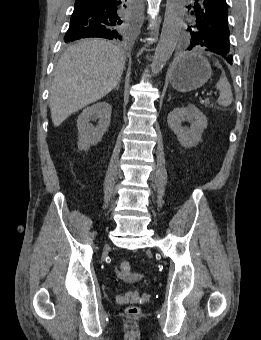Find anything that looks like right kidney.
I'll list each match as a JSON object with an SVG mask.
<instances>
[{
	"label": "right kidney",
	"instance_id": "ca27d5eb",
	"mask_svg": "<svg viewBox=\"0 0 261 340\" xmlns=\"http://www.w3.org/2000/svg\"><path fill=\"white\" fill-rule=\"evenodd\" d=\"M112 108L107 102H99L82 111L77 119L78 148L87 151L90 146L96 145L108 131ZM90 119H99L94 127Z\"/></svg>",
	"mask_w": 261,
	"mask_h": 340
}]
</instances>
